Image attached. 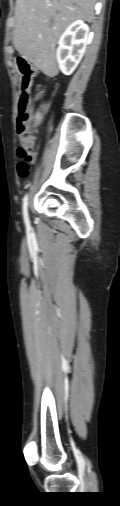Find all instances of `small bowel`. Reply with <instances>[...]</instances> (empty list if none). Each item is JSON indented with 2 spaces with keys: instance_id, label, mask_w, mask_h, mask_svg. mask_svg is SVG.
I'll list each match as a JSON object with an SVG mask.
<instances>
[{
  "instance_id": "small-bowel-1",
  "label": "small bowel",
  "mask_w": 120,
  "mask_h": 506,
  "mask_svg": "<svg viewBox=\"0 0 120 506\" xmlns=\"http://www.w3.org/2000/svg\"><path fill=\"white\" fill-rule=\"evenodd\" d=\"M48 108H49V103H47V102L41 103L40 110L42 112H46L48 110ZM37 117H38V123H39L41 121V114L38 113Z\"/></svg>"
}]
</instances>
